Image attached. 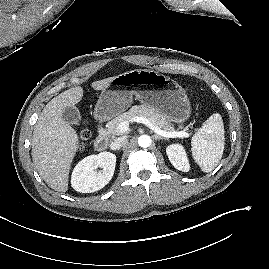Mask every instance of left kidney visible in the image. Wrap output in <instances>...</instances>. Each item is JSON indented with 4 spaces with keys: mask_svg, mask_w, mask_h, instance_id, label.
I'll return each instance as SVG.
<instances>
[{
    "mask_svg": "<svg viewBox=\"0 0 269 269\" xmlns=\"http://www.w3.org/2000/svg\"><path fill=\"white\" fill-rule=\"evenodd\" d=\"M166 153L171 164L178 170L188 172L190 165L182 145L172 144L166 148Z\"/></svg>",
    "mask_w": 269,
    "mask_h": 269,
    "instance_id": "5707ae66",
    "label": "left kidney"
}]
</instances>
